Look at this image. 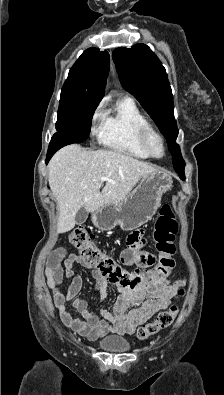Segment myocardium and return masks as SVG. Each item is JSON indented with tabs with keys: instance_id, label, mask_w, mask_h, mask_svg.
Segmentation results:
<instances>
[{
	"instance_id": "obj_1",
	"label": "myocardium",
	"mask_w": 224,
	"mask_h": 395,
	"mask_svg": "<svg viewBox=\"0 0 224 395\" xmlns=\"http://www.w3.org/2000/svg\"><path fill=\"white\" fill-rule=\"evenodd\" d=\"M152 137H156L159 139L161 142L162 148H163V153L162 155H156L153 150L151 149L150 146V140ZM137 138L142 146V148L148 153L150 157L160 159L163 158L166 154V144L164 137L161 135V133L155 129L150 123L146 122L144 124H141L138 129H137Z\"/></svg>"
}]
</instances>
